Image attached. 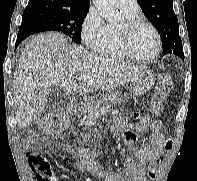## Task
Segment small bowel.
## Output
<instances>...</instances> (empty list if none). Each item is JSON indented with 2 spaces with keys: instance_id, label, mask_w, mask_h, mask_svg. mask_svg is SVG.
I'll return each mask as SVG.
<instances>
[{
  "instance_id": "small-bowel-1",
  "label": "small bowel",
  "mask_w": 197,
  "mask_h": 181,
  "mask_svg": "<svg viewBox=\"0 0 197 181\" xmlns=\"http://www.w3.org/2000/svg\"><path fill=\"white\" fill-rule=\"evenodd\" d=\"M136 120L140 115H134ZM146 122L145 120L143 121ZM118 130L124 131V143L131 148L132 158L124 163V173L132 181H152L156 177V172L161 164L163 154L169 147V140L162 134V123L154 120L150 124V136L147 144L135 145V132L138 123L129 124L125 119L120 118L115 122ZM35 139L36 135L30 137ZM45 144L51 148H58L66 153H74L75 149L68 143L55 142L51 138L44 139ZM29 163L32 170L36 173L35 181H58V177L51 169L50 163L45 157L36 152L28 155ZM77 168L80 171L87 172L100 181H120V175L116 171H102L92 156L89 149L84 148L77 153Z\"/></svg>"
}]
</instances>
